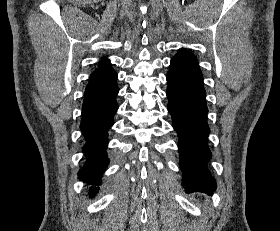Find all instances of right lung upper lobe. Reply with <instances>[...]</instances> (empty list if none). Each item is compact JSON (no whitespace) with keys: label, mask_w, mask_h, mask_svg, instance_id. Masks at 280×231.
Masks as SVG:
<instances>
[{"label":"right lung upper lobe","mask_w":280,"mask_h":231,"mask_svg":"<svg viewBox=\"0 0 280 231\" xmlns=\"http://www.w3.org/2000/svg\"><path fill=\"white\" fill-rule=\"evenodd\" d=\"M117 73L111 68L109 60L102 59L91 73L84 97H91L107 89L116 87Z\"/></svg>","instance_id":"right-lung-upper-lobe-1"}]
</instances>
